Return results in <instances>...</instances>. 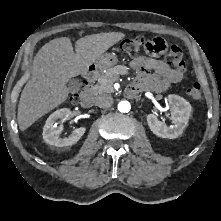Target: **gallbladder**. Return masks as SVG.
I'll use <instances>...</instances> for the list:
<instances>
[{
	"label": "gallbladder",
	"mask_w": 221,
	"mask_h": 221,
	"mask_svg": "<svg viewBox=\"0 0 221 221\" xmlns=\"http://www.w3.org/2000/svg\"><path fill=\"white\" fill-rule=\"evenodd\" d=\"M78 84H79L78 80L72 78L67 83V87H68L69 90L76 89L78 87Z\"/></svg>",
	"instance_id": "gallbladder-1"
}]
</instances>
